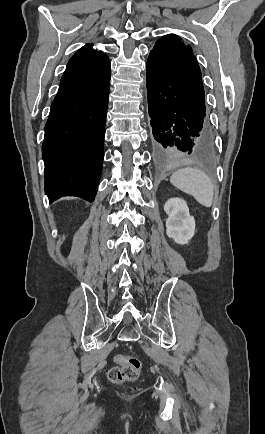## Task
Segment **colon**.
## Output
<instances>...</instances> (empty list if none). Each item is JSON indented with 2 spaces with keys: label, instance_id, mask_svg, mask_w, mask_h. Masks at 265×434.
Returning <instances> with one entry per match:
<instances>
[{
  "label": "colon",
  "instance_id": "1",
  "mask_svg": "<svg viewBox=\"0 0 265 434\" xmlns=\"http://www.w3.org/2000/svg\"><path fill=\"white\" fill-rule=\"evenodd\" d=\"M118 366L111 368L107 375L115 383H126L139 378L143 363L133 356H118Z\"/></svg>",
  "mask_w": 265,
  "mask_h": 434
}]
</instances>
